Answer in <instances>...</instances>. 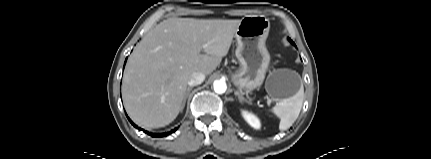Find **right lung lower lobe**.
<instances>
[{
	"label": "right lung lower lobe",
	"mask_w": 431,
	"mask_h": 159,
	"mask_svg": "<svg viewBox=\"0 0 431 159\" xmlns=\"http://www.w3.org/2000/svg\"><path fill=\"white\" fill-rule=\"evenodd\" d=\"M128 118V117H127ZM129 119V118H128ZM129 121L131 122V124L134 126V127H136V128H138L130 119H129ZM140 130H142V131H144L143 129H140ZM177 130V128H175V129H173L171 132H169V133H161V134H155V133H150V132H148V131H144L145 133H147L148 135H151L152 137H163V136H167V135H169L170 133H173V132H175Z\"/></svg>",
	"instance_id": "right-lung-lower-lobe-1"
}]
</instances>
